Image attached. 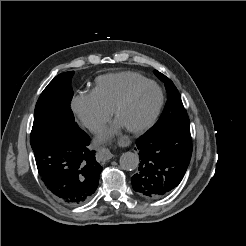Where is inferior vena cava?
<instances>
[{"instance_id": "602c4592", "label": "inferior vena cava", "mask_w": 246, "mask_h": 246, "mask_svg": "<svg viewBox=\"0 0 246 246\" xmlns=\"http://www.w3.org/2000/svg\"><path fill=\"white\" fill-rule=\"evenodd\" d=\"M88 128L94 132H100L103 130L104 125L99 121H92L88 124Z\"/></svg>"}]
</instances>
